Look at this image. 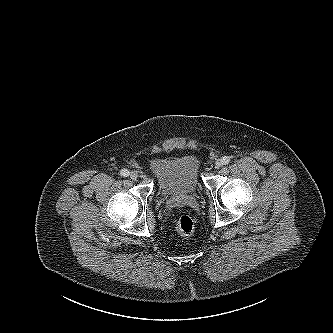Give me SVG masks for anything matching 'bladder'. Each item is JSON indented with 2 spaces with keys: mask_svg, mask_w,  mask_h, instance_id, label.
I'll list each match as a JSON object with an SVG mask.
<instances>
[{
  "mask_svg": "<svg viewBox=\"0 0 333 333\" xmlns=\"http://www.w3.org/2000/svg\"><path fill=\"white\" fill-rule=\"evenodd\" d=\"M150 168L163 196H190L199 189L200 160L195 154L185 153L155 159Z\"/></svg>",
  "mask_w": 333,
  "mask_h": 333,
  "instance_id": "1",
  "label": "bladder"
}]
</instances>
